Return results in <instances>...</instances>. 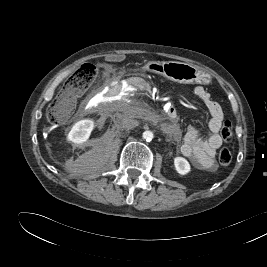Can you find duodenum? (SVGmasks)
<instances>
[{
  "mask_svg": "<svg viewBox=\"0 0 267 267\" xmlns=\"http://www.w3.org/2000/svg\"><path fill=\"white\" fill-rule=\"evenodd\" d=\"M123 93V88L119 83H114L109 90V95L112 98H118ZM165 115L174 120L176 118V110L173 107H168L165 109Z\"/></svg>",
  "mask_w": 267,
  "mask_h": 267,
  "instance_id": "obj_1",
  "label": "duodenum"
}]
</instances>
